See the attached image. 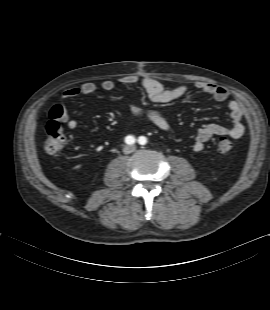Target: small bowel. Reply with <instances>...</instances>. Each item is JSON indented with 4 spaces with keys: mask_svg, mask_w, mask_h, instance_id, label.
<instances>
[{
    "mask_svg": "<svg viewBox=\"0 0 270 310\" xmlns=\"http://www.w3.org/2000/svg\"><path fill=\"white\" fill-rule=\"evenodd\" d=\"M120 82L125 85L140 84L141 88L152 102L165 104L184 98L188 94V87L179 85L174 88H165L158 80L151 77H138L128 75L120 78ZM101 87L105 91L114 89L115 83L112 80H104ZM195 88L212 97L217 102H226L229 110V116L232 121L230 127L221 124L211 123L204 125L198 129L193 143L194 151H201L204 144L211 138L216 136H230L234 139H239L245 132V127L242 123L244 110L240 102L230 98V93L227 88L209 83L197 82ZM97 91V86L93 82H84L80 86L72 87L64 91L60 105L62 108L61 121L65 123L69 129H76L78 122L72 119L65 106V102L79 95H93ZM129 110L135 117H144L152 122L161 131L168 132L171 130V124L167 118L156 110L143 109L136 102L129 103Z\"/></svg>",
    "mask_w": 270,
    "mask_h": 310,
    "instance_id": "c3829d8e",
    "label": "small bowel"
}]
</instances>
